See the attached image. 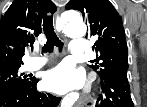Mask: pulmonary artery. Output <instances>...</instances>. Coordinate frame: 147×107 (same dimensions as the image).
<instances>
[{"label":"pulmonary artery","mask_w":147,"mask_h":107,"mask_svg":"<svg viewBox=\"0 0 147 107\" xmlns=\"http://www.w3.org/2000/svg\"><path fill=\"white\" fill-rule=\"evenodd\" d=\"M86 42L83 39H74L71 41L70 50L73 54H84L86 50ZM47 60L41 57H33L29 60L27 68L30 70H36L43 67L46 64Z\"/></svg>","instance_id":"obj_1"}]
</instances>
